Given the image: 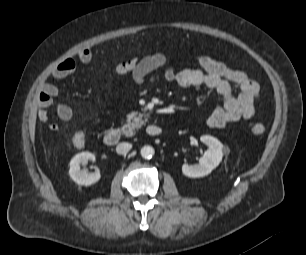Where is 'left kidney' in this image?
Instances as JSON below:
<instances>
[{
	"mask_svg": "<svg viewBox=\"0 0 306 255\" xmlns=\"http://www.w3.org/2000/svg\"><path fill=\"white\" fill-rule=\"evenodd\" d=\"M200 141L207 146V150L200 158L199 164L195 165H182V172L185 176L191 178L204 177L211 173L216 168L223 157V145L222 143L210 135H203L200 137Z\"/></svg>",
	"mask_w": 306,
	"mask_h": 255,
	"instance_id": "5707ae66",
	"label": "left kidney"
}]
</instances>
